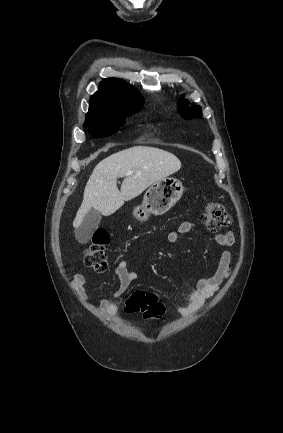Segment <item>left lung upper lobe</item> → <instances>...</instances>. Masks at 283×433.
<instances>
[{
  "instance_id": "1",
  "label": "left lung upper lobe",
  "mask_w": 283,
  "mask_h": 433,
  "mask_svg": "<svg viewBox=\"0 0 283 433\" xmlns=\"http://www.w3.org/2000/svg\"><path fill=\"white\" fill-rule=\"evenodd\" d=\"M186 102H182L183 108L179 111V114L185 119H191L193 117H201V108L199 106H192L187 109L184 108Z\"/></svg>"
}]
</instances>
